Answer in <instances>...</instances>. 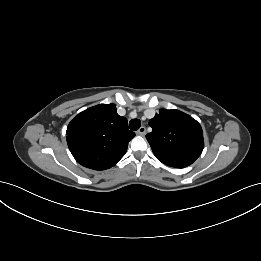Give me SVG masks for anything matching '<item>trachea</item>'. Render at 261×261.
<instances>
[{"label":"trachea","instance_id":"1","mask_svg":"<svg viewBox=\"0 0 261 261\" xmlns=\"http://www.w3.org/2000/svg\"><path fill=\"white\" fill-rule=\"evenodd\" d=\"M140 126H141V121L139 119H132L129 122V127L132 131L138 130Z\"/></svg>","mask_w":261,"mask_h":261}]
</instances>
